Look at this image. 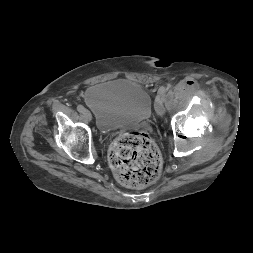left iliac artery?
I'll return each instance as SVG.
<instances>
[{
	"instance_id": "1",
	"label": "left iliac artery",
	"mask_w": 253,
	"mask_h": 253,
	"mask_svg": "<svg viewBox=\"0 0 253 253\" xmlns=\"http://www.w3.org/2000/svg\"><path fill=\"white\" fill-rule=\"evenodd\" d=\"M158 93H159V96H162V98H164L165 93H166V87L164 86L160 87Z\"/></svg>"
}]
</instances>
